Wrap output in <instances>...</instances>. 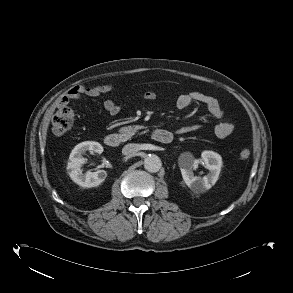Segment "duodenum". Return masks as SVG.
Masks as SVG:
<instances>
[{"mask_svg": "<svg viewBox=\"0 0 293 293\" xmlns=\"http://www.w3.org/2000/svg\"><path fill=\"white\" fill-rule=\"evenodd\" d=\"M152 139L163 144L170 143L173 139L172 134L164 129H156L152 132ZM124 141L120 133H109L105 136L104 142L109 147H118Z\"/></svg>", "mask_w": 293, "mask_h": 293, "instance_id": "410a0bca", "label": "duodenum"}]
</instances>
